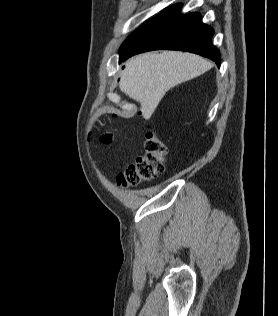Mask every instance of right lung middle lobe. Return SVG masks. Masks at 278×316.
I'll use <instances>...</instances> for the list:
<instances>
[{
  "label": "right lung middle lobe",
  "instance_id": "dd1d6c3e",
  "mask_svg": "<svg viewBox=\"0 0 278 316\" xmlns=\"http://www.w3.org/2000/svg\"><path fill=\"white\" fill-rule=\"evenodd\" d=\"M159 16L146 21L141 27H139L133 34H131L121 46L120 53L126 51L132 47L144 33L155 23Z\"/></svg>",
  "mask_w": 278,
  "mask_h": 316
}]
</instances>
